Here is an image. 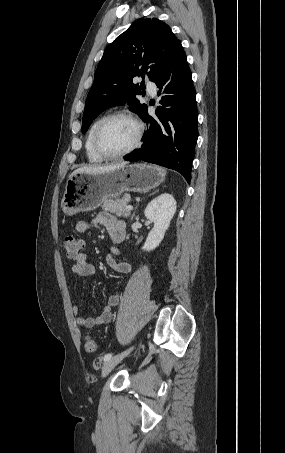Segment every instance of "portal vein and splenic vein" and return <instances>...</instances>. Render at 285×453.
Returning a JSON list of instances; mask_svg holds the SVG:
<instances>
[{
	"label": "portal vein and splenic vein",
	"instance_id": "obj_1",
	"mask_svg": "<svg viewBox=\"0 0 285 453\" xmlns=\"http://www.w3.org/2000/svg\"><path fill=\"white\" fill-rule=\"evenodd\" d=\"M126 209L132 210V209H133V206H132V205H128V206H126Z\"/></svg>",
	"mask_w": 285,
	"mask_h": 453
}]
</instances>
